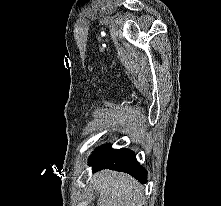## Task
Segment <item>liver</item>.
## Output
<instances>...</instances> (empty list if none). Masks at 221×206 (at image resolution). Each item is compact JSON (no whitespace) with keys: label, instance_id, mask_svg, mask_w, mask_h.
Returning <instances> with one entry per match:
<instances>
[{"label":"liver","instance_id":"1","mask_svg":"<svg viewBox=\"0 0 221 206\" xmlns=\"http://www.w3.org/2000/svg\"><path fill=\"white\" fill-rule=\"evenodd\" d=\"M91 187L97 192V206H139L142 192L129 175L105 170L91 179Z\"/></svg>","mask_w":221,"mask_h":206}]
</instances>
